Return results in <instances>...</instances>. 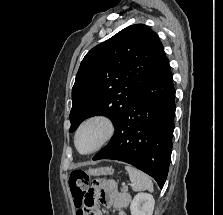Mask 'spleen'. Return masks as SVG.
<instances>
[{
	"instance_id": "obj_1",
	"label": "spleen",
	"mask_w": 223,
	"mask_h": 215,
	"mask_svg": "<svg viewBox=\"0 0 223 215\" xmlns=\"http://www.w3.org/2000/svg\"><path fill=\"white\" fill-rule=\"evenodd\" d=\"M126 171L129 173V177L132 181V189L134 191H144V189H149V191H153V183L146 173L143 171H139L136 167H131V165H125Z\"/></svg>"
}]
</instances>
